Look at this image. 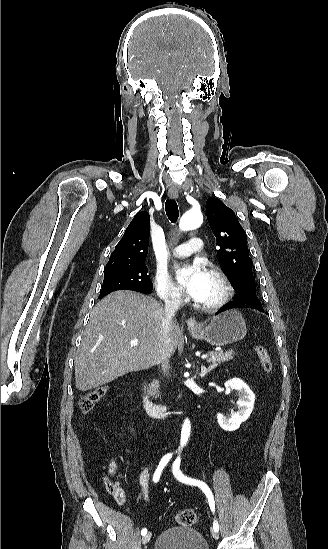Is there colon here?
<instances>
[{
  "instance_id": "5ec220e1",
  "label": "colon",
  "mask_w": 328,
  "mask_h": 549,
  "mask_svg": "<svg viewBox=\"0 0 328 549\" xmlns=\"http://www.w3.org/2000/svg\"><path fill=\"white\" fill-rule=\"evenodd\" d=\"M253 350L260 362V365L265 373H270L273 369V363L269 351L262 345H255ZM107 389L105 387H98L90 390L81 397L80 406L84 412L91 411L94 406L105 396ZM198 516L195 511L191 509H185L179 511L175 520L179 525L191 526L196 523Z\"/></svg>"
}]
</instances>
